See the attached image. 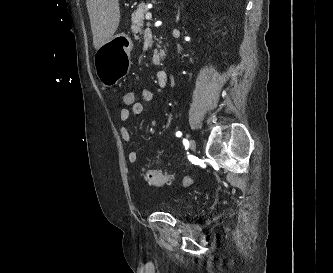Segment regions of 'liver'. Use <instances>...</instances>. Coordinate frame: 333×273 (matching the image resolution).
Segmentation results:
<instances>
[{
  "instance_id": "1",
  "label": "liver",
  "mask_w": 333,
  "mask_h": 273,
  "mask_svg": "<svg viewBox=\"0 0 333 273\" xmlns=\"http://www.w3.org/2000/svg\"><path fill=\"white\" fill-rule=\"evenodd\" d=\"M93 44L98 50L109 41L120 22L119 0H87Z\"/></svg>"
}]
</instances>
